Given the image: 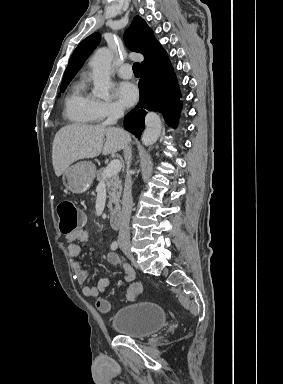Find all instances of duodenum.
<instances>
[{"label": "duodenum", "mask_w": 283, "mask_h": 384, "mask_svg": "<svg viewBox=\"0 0 283 384\" xmlns=\"http://www.w3.org/2000/svg\"><path fill=\"white\" fill-rule=\"evenodd\" d=\"M120 213L118 211L112 212L109 214V222L114 228H119L120 227Z\"/></svg>", "instance_id": "obj_1"}]
</instances>
